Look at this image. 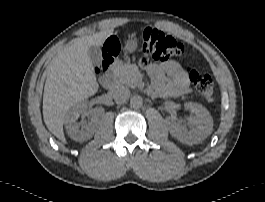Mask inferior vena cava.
Returning <instances> with one entry per match:
<instances>
[{"instance_id":"obj_1","label":"inferior vena cava","mask_w":265,"mask_h":202,"mask_svg":"<svg viewBox=\"0 0 265 202\" xmlns=\"http://www.w3.org/2000/svg\"><path fill=\"white\" fill-rule=\"evenodd\" d=\"M110 95L116 103L122 104L130 97V90L123 85L116 84L111 88Z\"/></svg>"}]
</instances>
